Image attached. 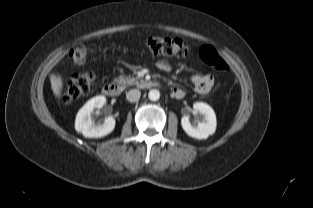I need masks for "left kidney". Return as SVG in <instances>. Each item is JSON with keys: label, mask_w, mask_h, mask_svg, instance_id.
<instances>
[{"label": "left kidney", "mask_w": 313, "mask_h": 208, "mask_svg": "<svg viewBox=\"0 0 313 208\" xmlns=\"http://www.w3.org/2000/svg\"><path fill=\"white\" fill-rule=\"evenodd\" d=\"M193 109L200 113L203 118L196 126L191 125L188 116H183L181 125L183 130L191 137L196 139H207L216 130V115L212 107L203 102L193 104Z\"/></svg>", "instance_id": "obj_1"}]
</instances>
